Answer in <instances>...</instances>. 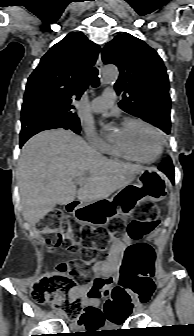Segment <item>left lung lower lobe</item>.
<instances>
[{
  "label": "left lung lower lobe",
  "mask_w": 194,
  "mask_h": 336,
  "mask_svg": "<svg viewBox=\"0 0 194 336\" xmlns=\"http://www.w3.org/2000/svg\"><path fill=\"white\" fill-rule=\"evenodd\" d=\"M158 168L164 172L174 184V167L171 159L167 158Z\"/></svg>",
  "instance_id": "obj_1"
}]
</instances>
